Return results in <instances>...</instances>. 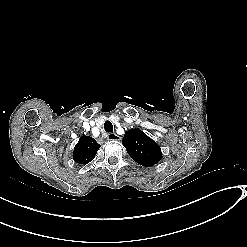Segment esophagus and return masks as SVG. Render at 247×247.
<instances>
[{
  "label": "esophagus",
  "instance_id": "esophagus-1",
  "mask_svg": "<svg viewBox=\"0 0 247 247\" xmlns=\"http://www.w3.org/2000/svg\"><path fill=\"white\" fill-rule=\"evenodd\" d=\"M108 140H113V141H119L121 140V137L115 133H110L107 135Z\"/></svg>",
  "mask_w": 247,
  "mask_h": 247
}]
</instances>
